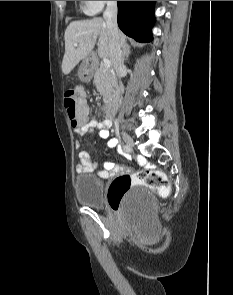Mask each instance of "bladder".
I'll return each mask as SVG.
<instances>
[{"mask_svg":"<svg viewBox=\"0 0 233 295\" xmlns=\"http://www.w3.org/2000/svg\"><path fill=\"white\" fill-rule=\"evenodd\" d=\"M104 183L91 175H79L75 179V193L79 203L95 208L104 207ZM156 199L148 188H141L126 207L127 213L142 222L153 220L157 213Z\"/></svg>","mask_w":233,"mask_h":295,"instance_id":"obj_1","label":"bladder"}]
</instances>
